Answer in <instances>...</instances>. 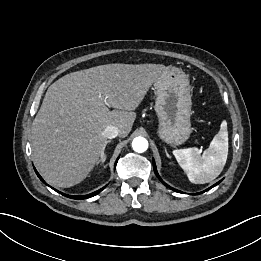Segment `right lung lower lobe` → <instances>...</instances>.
<instances>
[{
  "mask_svg": "<svg viewBox=\"0 0 261 261\" xmlns=\"http://www.w3.org/2000/svg\"><path fill=\"white\" fill-rule=\"evenodd\" d=\"M117 161H118V160H117ZM117 161H116V163H117ZM115 165H116V164H115ZM34 170H35L37 176L40 178V180H41L42 182H44L43 178L39 175V173L36 171L35 168H34ZM44 183H45V182H44ZM45 184H46V183H45ZM105 187H106V186H105ZM105 187H103V188L99 189L98 191H95V192H93V193H91V194L83 195V196L67 195V194H64V193H62V192H59V191H57V190H55V189H54V190L57 191V192H59L60 194H62V195H64V196L69 197V198H72V199H86V198H90V197H93V196L97 195V194L100 193Z\"/></svg>",
  "mask_w": 261,
  "mask_h": 261,
  "instance_id": "obj_1",
  "label": "right lung lower lobe"
}]
</instances>
